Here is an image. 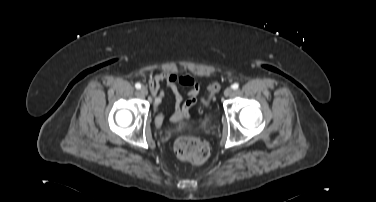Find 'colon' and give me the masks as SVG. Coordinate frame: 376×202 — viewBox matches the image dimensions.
<instances>
[{
	"mask_svg": "<svg viewBox=\"0 0 376 202\" xmlns=\"http://www.w3.org/2000/svg\"><path fill=\"white\" fill-rule=\"evenodd\" d=\"M220 86L213 83L209 86L210 94L218 92ZM174 151L178 159L192 163L204 162L209 154V144L202 138L192 136L179 137L174 145Z\"/></svg>",
	"mask_w": 376,
	"mask_h": 202,
	"instance_id": "obj_1",
	"label": "colon"
}]
</instances>
